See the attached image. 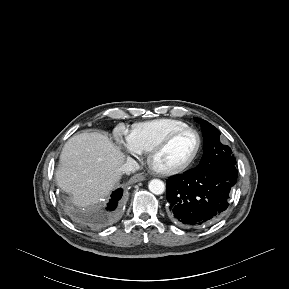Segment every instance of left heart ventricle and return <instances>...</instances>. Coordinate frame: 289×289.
Wrapping results in <instances>:
<instances>
[{"mask_svg":"<svg viewBox=\"0 0 289 289\" xmlns=\"http://www.w3.org/2000/svg\"><path fill=\"white\" fill-rule=\"evenodd\" d=\"M197 137L192 132L176 136L155 158L159 168H171L185 162L195 151Z\"/></svg>","mask_w":289,"mask_h":289,"instance_id":"1","label":"left heart ventricle"}]
</instances>
